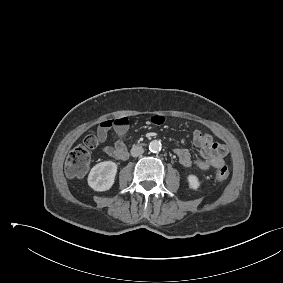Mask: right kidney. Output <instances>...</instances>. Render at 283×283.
Here are the masks:
<instances>
[{
	"mask_svg": "<svg viewBox=\"0 0 283 283\" xmlns=\"http://www.w3.org/2000/svg\"><path fill=\"white\" fill-rule=\"evenodd\" d=\"M116 173V163L112 161L98 163L88 175V185L95 191H107L113 186Z\"/></svg>",
	"mask_w": 283,
	"mask_h": 283,
	"instance_id": "obj_1",
	"label": "right kidney"
}]
</instances>
